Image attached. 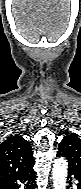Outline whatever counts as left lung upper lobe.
Wrapping results in <instances>:
<instances>
[{
    "instance_id": "left-lung-upper-lobe-1",
    "label": "left lung upper lobe",
    "mask_w": 81,
    "mask_h": 189,
    "mask_svg": "<svg viewBox=\"0 0 81 189\" xmlns=\"http://www.w3.org/2000/svg\"><path fill=\"white\" fill-rule=\"evenodd\" d=\"M57 156L68 160V173L81 178V137L74 133L66 134L59 144Z\"/></svg>"
}]
</instances>
